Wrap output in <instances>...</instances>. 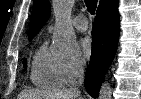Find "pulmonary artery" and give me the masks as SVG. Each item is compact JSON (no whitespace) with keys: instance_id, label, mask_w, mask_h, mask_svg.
Returning <instances> with one entry per match:
<instances>
[{"instance_id":"obj_1","label":"pulmonary artery","mask_w":141,"mask_h":99,"mask_svg":"<svg viewBox=\"0 0 141 99\" xmlns=\"http://www.w3.org/2000/svg\"><path fill=\"white\" fill-rule=\"evenodd\" d=\"M73 26L79 31H86L88 29V20L85 16L79 15L72 19ZM52 26L50 27V29Z\"/></svg>"}]
</instances>
